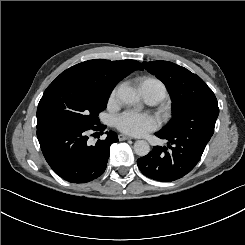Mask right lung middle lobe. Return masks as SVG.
Returning a JSON list of instances; mask_svg holds the SVG:
<instances>
[{
	"instance_id": "right-lung-middle-lobe-1",
	"label": "right lung middle lobe",
	"mask_w": 245,
	"mask_h": 245,
	"mask_svg": "<svg viewBox=\"0 0 245 245\" xmlns=\"http://www.w3.org/2000/svg\"><path fill=\"white\" fill-rule=\"evenodd\" d=\"M111 92L95 81L61 73L39 102L37 128L51 125L95 126Z\"/></svg>"
}]
</instances>
